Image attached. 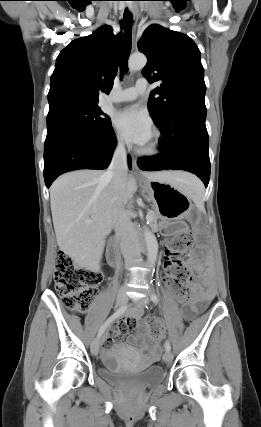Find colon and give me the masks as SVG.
I'll return each mask as SVG.
<instances>
[{"label": "colon", "mask_w": 261, "mask_h": 427, "mask_svg": "<svg viewBox=\"0 0 261 427\" xmlns=\"http://www.w3.org/2000/svg\"><path fill=\"white\" fill-rule=\"evenodd\" d=\"M188 232H181L171 238L166 244L167 276L165 284L174 290L178 301L182 304L189 300V289L192 273L182 263V258L190 245ZM102 280V274L97 269H89L76 263L65 252H58L54 273L55 289L62 299L63 305L72 311H87L97 294V285ZM151 337L161 334L160 325L156 321L143 323Z\"/></svg>", "instance_id": "colon-1"}]
</instances>
